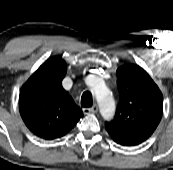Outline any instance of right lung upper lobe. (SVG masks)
<instances>
[{"label":"right lung upper lobe","instance_id":"right-lung-upper-lobe-1","mask_svg":"<svg viewBox=\"0 0 173 170\" xmlns=\"http://www.w3.org/2000/svg\"><path fill=\"white\" fill-rule=\"evenodd\" d=\"M67 65L51 57L22 86L21 117L36 136L51 140L64 136L83 116L81 109L62 87Z\"/></svg>","mask_w":173,"mask_h":170}]
</instances>
